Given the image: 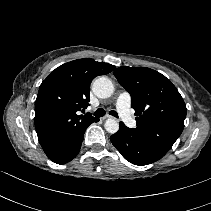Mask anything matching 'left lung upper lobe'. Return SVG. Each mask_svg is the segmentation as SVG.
Wrapping results in <instances>:
<instances>
[{"label":"left lung upper lobe","instance_id":"left-lung-upper-lobe-1","mask_svg":"<svg viewBox=\"0 0 211 211\" xmlns=\"http://www.w3.org/2000/svg\"><path fill=\"white\" fill-rule=\"evenodd\" d=\"M114 75L131 95L138 116L134 130L165 155L184 128L187 109L180 93L164 75L150 68L124 66Z\"/></svg>","mask_w":211,"mask_h":211}]
</instances>
